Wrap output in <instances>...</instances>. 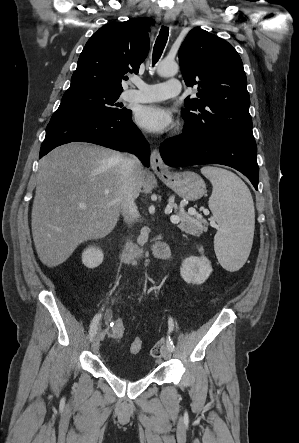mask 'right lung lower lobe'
Wrapping results in <instances>:
<instances>
[{"label": "right lung lower lobe", "instance_id": "right-lung-lower-lobe-1", "mask_svg": "<svg viewBox=\"0 0 299 443\" xmlns=\"http://www.w3.org/2000/svg\"><path fill=\"white\" fill-rule=\"evenodd\" d=\"M131 111L122 115H91L56 111L47 128L39 157L70 142H89L134 153L150 165V146L132 122Z\"/></svg>", "mask_w": 299, "mask_h": 443}]
</instances>
